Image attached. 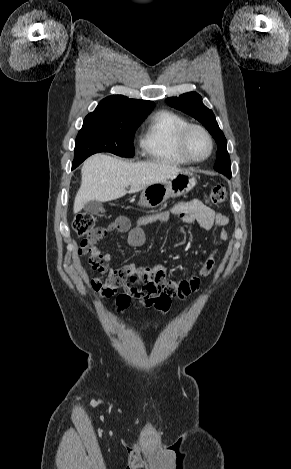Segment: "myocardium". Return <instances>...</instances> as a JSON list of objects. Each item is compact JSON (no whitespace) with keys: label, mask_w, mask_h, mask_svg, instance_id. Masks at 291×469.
<instances>
[{"label":"myocardium","mask_w":291,"mask_h":469,"mask_svg":"<svg viewBox=\"0 0 291 469\" xmlns=\"http://www.w3.org/2000/svg\"><path fill=\"white\" fill-rule=\"evenodd\" d=\"M195 129L201 131L207 137L208 142H209L208 153L205 156L200 157V158H196L192 156L187 147L188 137L190 133ZM177 145H178V150L180 154L182 155V157L191 163H201L207 160L212 155L213 150H214V140L210 132L204 126L199 125V124H194V123L187 124L179 131L178 138H177Z\"/></svg>","instance_id":"1"}]
</instances>
